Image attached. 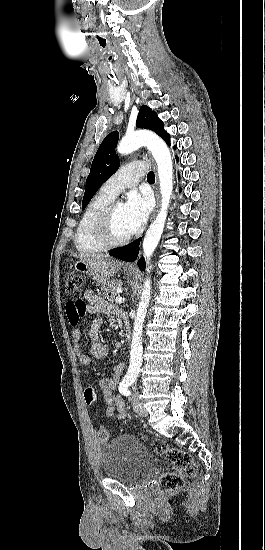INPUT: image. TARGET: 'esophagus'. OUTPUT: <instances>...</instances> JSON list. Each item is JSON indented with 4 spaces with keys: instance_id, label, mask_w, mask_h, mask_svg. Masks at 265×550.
<instances>
[{
    "instance_id": "obj_1",
    "label": "esophagus",
    "mask_w": 265,
    "mask_h": 550,
    "mask_svg": "<svg viewBox=\"0 0 265 550\" xmlns=\"http://www.w3.org/2000/svg\"><path fill=\"white\" fill-rule=\"evenodd\" d=\"M154 168H155V165H154ZM159 202H160V196H159V191H158V180H157V177H156V207H155V211H154V214H153V217L155 216L158 208H159ZM135 267V264L134 263H130L128 264V268H134Z\"/></svg>"
}]
</instances>
